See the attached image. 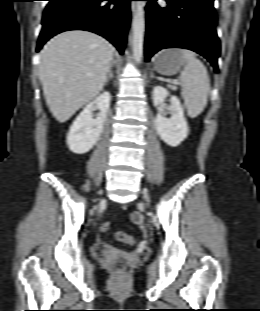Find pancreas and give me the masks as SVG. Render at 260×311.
<instances>
[{
  "mask_svg": "<svg viewBox=\"0 0 260 311\" xmlns=\"http://www.w3.org/2000/svg\"><path fill=\"white\" fill-rule=\"evenodd\" d=\"M168 87H169L170 89H172V90H176V89H177V87L174 86V85H168Z\"/></svg>",
  "mask_w": 260,
  "mask_h": 311,
  "instance_id": "1",
  "label": "pancreas"
}]
</instances>
